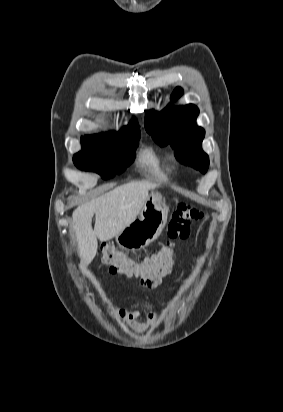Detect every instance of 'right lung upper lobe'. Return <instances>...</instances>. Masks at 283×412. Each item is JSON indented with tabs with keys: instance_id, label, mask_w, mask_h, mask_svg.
Returning <instances> with one entry per match:
<instances>
[{
	"instance_id": "1",
	"label": "right lung upper lobe",
	"mask_w": 283,
	"mask_h": 412,
	"mask_svg": "<svg viewBox=\"0 0 283 412\" xmlns=\"http://www.w3.org/2000/svg\"><path fill=\"white\" fill-rule=\"evenodd\" d=\"M137 134H140L139 126H138L136 119H133L129 123L128 126L123 127L122 130L118 133L111 132V133H106V134H99V135L85 136V137L101 138V139H117V138H122V137H129V136H133Z\"/></svg>"
}]
</instances>
